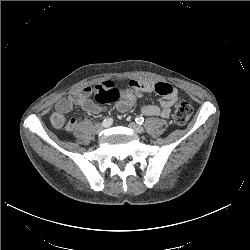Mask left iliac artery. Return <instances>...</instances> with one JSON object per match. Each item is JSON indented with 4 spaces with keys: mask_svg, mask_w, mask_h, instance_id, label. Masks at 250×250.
Here are the masks:
<instances>
[{
    "mask_svg": "<svg viewBox=\"0 0 250 250\" xmlns=\"http://www.w3.org/2000/svg\"><path fill=\"white\" fill-rule=\"evenodd\" d=\"M135 121H136V123H138V124L141 125V124H143V122H144V118L141 117V116H138V117H136Z\"/></svg>",
    "mask_w": 250,
    "mask_h": 250,
    "instance_id": "obj_1",
    "label": "left iliac artery"
}]
</instances>
